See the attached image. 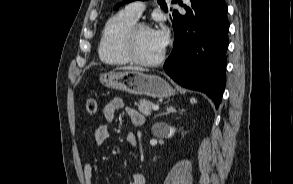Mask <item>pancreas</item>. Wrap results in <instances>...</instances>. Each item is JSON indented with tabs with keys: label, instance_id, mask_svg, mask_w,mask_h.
<instances>
[{
	"label": "pancreas",
	"instance_id": "obj_1",
	"mask_svg": "<svg viewBox=\"0 0 293 184\" xmlns=\"http://www.w3.org/2000/svg\"><path fill=\"white\" fill-rule=\"evenodd\" d=\"M135 105L138 107L140 113L147 117L150 116L153 102L146 99H141L138 103H135Z\"/></svg>",
	"mask_w": 293,
	"mask_h": 184
}]
</instances>
